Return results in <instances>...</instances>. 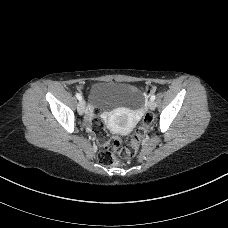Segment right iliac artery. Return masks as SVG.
<instances>
[{
  "mask_svg": "<svg viewBox=\"0 0 228 228\" xmlns=\"http://www.w3.org/2000/svg\"><path fill=\"white\" fill-rule=\"evenodd\" d=\"M76 97L78 100H82V96L79 93H76Z\"/></svg>",
  "mask_w": 228,
  "mask_h": 228,
  "instance_id": "right-iliac-artery-1",
  "label": "right iliac artery"
}]
</instances>
